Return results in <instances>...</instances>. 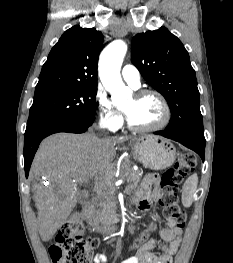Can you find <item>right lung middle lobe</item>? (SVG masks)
I'll return each mask as SVG.
<instances>
[{
  "label": "right lung middle lobe",
  "mask_w": 233,
  "mask_h": 263,
  "mask_svg": "<svg viewBox=\"0 0 233 263\" xmlns=\"http://www.w3.org/2000/svg\"><path fill=\"white\" fill-rule=\"evenodd\" d=\"M97 86H75L34 95L25 133L66 120L94 116Z\"/></svg>",
  "instance_id": "right-lung-middle-lobe-1"
}]
</instances>
